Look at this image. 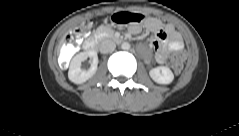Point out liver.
<instances>
[{
	"instance_id": "1",
	"label": "liver",
	"mask_w": 239,
	"mask_h": 136,
	"mask_svg": "<svg viewBox=\"0 0 239 136\" xmlns=\"http://www.w3.org/2000/svg\"><path fill=\"white\" fill-rule=\"evenodd\" d=\"M65 37H63L62 41H64Z\"/></svg>"
}]
</instances>
